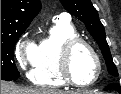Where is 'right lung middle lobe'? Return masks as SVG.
Returning a JSON list of instances; mask_svg holds the SVG:
<instances>
[{
	"mask_svg": "<svg viewBox=\"0 0 121 94\" xmlns=\"http://www.w3.org/2000/svg\"><path fill=\"white\" fill-rule=\"evenodd\" d=\"M25 30L1 33V79L11 81L19 78L20 74L14 63L13 50L19 37Z\"/></svg>",
	"mask_w": 121,
	"mask_h": 94,
	"instance_id": "right-lung-middle-lobe-1",
	"label": "right lung middle lobe"
}]
</instances>
